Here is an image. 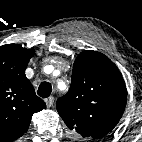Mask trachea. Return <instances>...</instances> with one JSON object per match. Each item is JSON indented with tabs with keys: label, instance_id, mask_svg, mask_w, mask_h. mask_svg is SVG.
I'll list each match as a JSON object with an SVG mask.
<instances>
[{
	"label": "trachea",
	"instance_id": "3493384b",
	"mask_svg": "<svg viewBox=\"0 0 142 142\" xmlns=\"http://www.w3.org/2000/svg\"><path fill=\"white\" fill-rule=\"evenodd\" d=\"M52 91V86L48 82H42L38 88V95L43 98L50 96Z\"/></svg>",
	"mask_w": 142,
	"mask_h": 142
}]
</instances>
